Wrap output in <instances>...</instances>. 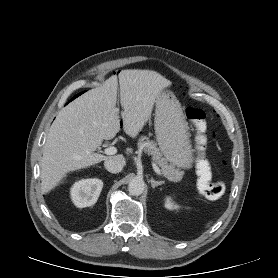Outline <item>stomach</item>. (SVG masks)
Returning <instances> with one entry per match:
<instances>
[{
    "label": "stomach",
    "mask_w": 278,
    "mask_h": 278,
    "mask_svg": "<svg viewBox=\"0 0 278 278\" xmlns=\"http://www.w3.org/2000/svg\"><path fill=\"white\" fill-rule=\"evenodd\" d=\"M155 134L166 160L182 169L193 164V149L188 123L179 100L170 91H161L156 98Z\"/></svg>",
    "instance_id": "stomach-1"
}]
</instances>
